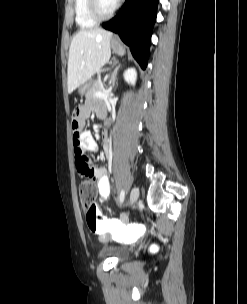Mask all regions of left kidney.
<instances>
[{
    "mask_svg": "<svg viewBox=\"0 0 247 304\" xmlns=\"http://www.w3.org/2000/svg\"><path fill=\"white\" fill-rule=\"evenodd\" d=\"M136 77H137V73L134 68H128L124 72V79L127 83H131L132 85H134L136 82Z\"/></svg>",
    "mask_w": 247,
    "mask_h": 304,
    "instance_id": "left-kidney-1",
    "label": "left kidney"
}]
</instances>
